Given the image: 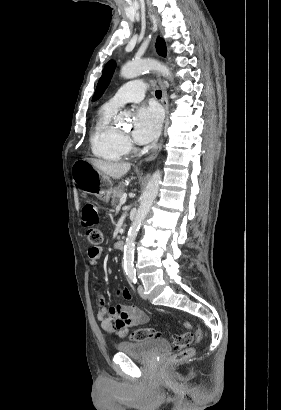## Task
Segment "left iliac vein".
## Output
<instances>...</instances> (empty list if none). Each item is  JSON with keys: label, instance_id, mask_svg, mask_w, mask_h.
Masks as SVG:
<instances>
[{"label": "left iliac vein", "instance_id": "obj_1", "mask_svg": "<svg viewBox=\"0 0 281 410\" xmlns=\"http://www.w3.org/2000/svg\"><path fill=\"white\" fill-rule=\"evenodd\" d=\"M138 294L141 298L146 299V295L144 294V288L142 285H138Z\"/></svg>", "mask_w": 281, "mask_h": 410}]
</instances>
